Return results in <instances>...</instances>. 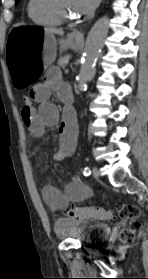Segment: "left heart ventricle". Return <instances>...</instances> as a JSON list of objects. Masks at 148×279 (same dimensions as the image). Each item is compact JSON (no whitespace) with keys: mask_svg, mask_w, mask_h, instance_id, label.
<instances>
[{"mask_svg":"<svg viewBox=\"0 0 148 279\" xmlns=\"http://www.w3.org/2000/svg\"><path fill=\"white\" fill-rule=\"evenodd\" d=\"M62 8L70 15L77 16L79 13L75 7L74 0H60Z\"/></svg>","mask_w":148,"mask_h":279,"instance_id":"left-heart-ventricle-1","label":"left heart ventricle"}]
</instances>
